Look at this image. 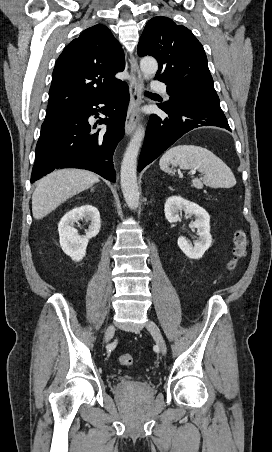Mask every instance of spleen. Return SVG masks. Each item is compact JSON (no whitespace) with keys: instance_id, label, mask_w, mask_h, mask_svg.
<instances>
[{"instance_id":"spleen-1","label":"spleen","mask_w":272,"mask_h":452,"mask_svg":"<svg viewBox=\"0 0 272 452\" xmlns=\"http://www.w3.org/2000/svg\"><path fill=\"white\" fill-rule=\"evenodd\" d=\"M182 169H195L203 174L202 178H194L192 184L196 188L203 185L213 188H231L236 179L231 169L213 152L195 145H178L167 150L160 159V168L171 173L169 165Z\"/></svg>"}]
</instances>
